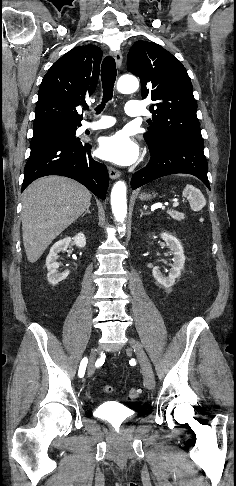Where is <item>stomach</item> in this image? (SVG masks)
Masks as SVG:
<instances>
[{"instance_id":"0dacf381","label":"stomach","mask_w":236,"mask_h":486,"mask_svg":"<svg viewBox=\"0 0 236 486\" xmlns=\"http://www.w3.org/2000/svg\"><path fill=\"white\" fill-rule=\"evenodd\" d=\"M155 197L154 194H145V193H142L139 198L140 200L142 201H147V200H150L151 198Z\"/></svg>"}]
</instances>
